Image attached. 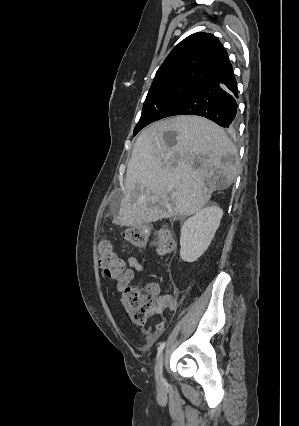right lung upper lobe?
<instances>
[{
	"label": "right lung upper lobe",
	"instance_id": "right-lung-upper-lobe-1",
	"mask_svg": "<svg viewBox=\"0 0 299 426\" xmlns=\"http://www.w3.org/2000/svg\"><path fill=\"white\" fill-rule=\"evenodd\" d=\"M232 68L227 52L213 35L195 33L180 42L157 70L151 87L167 83L200 86Z\"/></svg>",
	"mask_w": 299,
	"mask_h": 426
}]
</instances>
